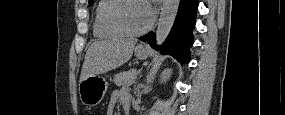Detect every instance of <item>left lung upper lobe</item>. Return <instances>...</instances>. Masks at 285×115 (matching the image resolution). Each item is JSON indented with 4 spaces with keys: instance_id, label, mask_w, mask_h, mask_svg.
<instances>
[{
    "instance_id": "left-lung-upper-lobe-1",
    "label": "left lung upper lobe",
    "mask_w": 285,
    "mask_h": 115,
    "mask_svg": "<svg viewBox=\"0 0 285 115\" xmlns=\"http://www.w3.org/2000/svg\"><path fill=\"white\" fill-rule=\"evenodd\" d=\"M93 2V0H89V3H92Z\"/></svg>"
}]
</instances>
